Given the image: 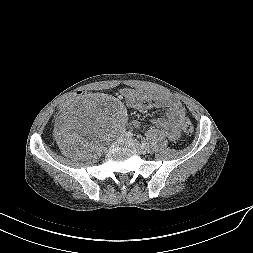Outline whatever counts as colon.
<instances>
[{
  "label": "colon",
  "mask_w": 253,
  "mask_h": 253,
  "mask_svg": "<svg viewBox=\"0 0 253 253\" xmlns=\"http://www.w3.org/2000/svg\"><path fill=\"white\" fill-rule=\"evenodd\" d=\"M90 95H91V92L89 90H81L78 93V96L80 98L89 97ZM76 97H77V94L75 92H70L68 96L65 98V101L57 105V108L61 111H64L72 103V99H75ZM181 126L185 134L191 135L194 131V127L188 119H184L182 121Z\"/></svg>",
  "instance_id": "1"
}]
</instances>
